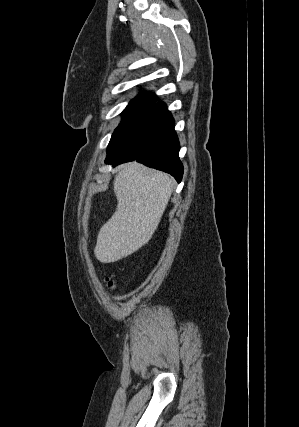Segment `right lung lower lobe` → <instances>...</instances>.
I'll list each match as a JSON object with an SVG mask.
<instances>
[{
    "mask_svg": "<svg viewBox=\"0 0 299 427\" xmlns=\"http://www.w3.org/2000/svg\"><path fill=\"white\" fill-rule=\"evenodd\" d=\"M179 149L173 117L165 103L159 102L125 137L107 151L105 163L116 166L136 160L151 168L170 173L180 182L183 165L178 157Z\"/></svg>",
    "mask_w": 299,
    "mask_h": 427,
    "instance_id": "obj_1",
    "label": "right lung lower lobe"
}]
</instances>
